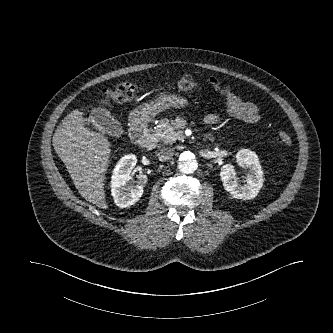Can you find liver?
Wrapping results in <instances>:
<instances>
[{"label": "liver", "mask_w": 333, "mask_h": 333, "mask_svg": "<svg viewBox=\"0 0 333 333\" xmlns=\"http://www.w3.org/2000/svg\"><path fill=\"white\" fill-rule=\"evenodd\" d=\"M100 103L107 105L109 101L101 100ZM74 115L77 117L68 115L63 121L65 125L69 120L65 128L57 131L54 147L81 196L99 208L107 209L104 173L111 144L103 134L85 127L83 112Z\"/></svg>", "instance_id": "6515ba94"}]
</instances>
